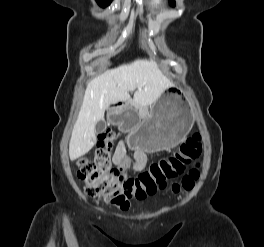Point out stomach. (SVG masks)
Wrapping results in <instances>:
<instances>
[{"label":"stomach","instance_id":"stomach-1","mask_svg":"<svg viewBox=\"0 0 264 247\" xmlns=\"http://www.w3.org/2000/svg\"><path fill=\"white\" fill-rule=\"evenodd\" d=\"M182 95L180 86H169L145 117L125 104L109 110L110 121L129 132L128 143L135 149L156 152L176 147L192 121L190 106Z\"/></svg>","mask_w":264,"mask_h":247}]
</instances>
